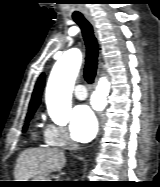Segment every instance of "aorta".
<instances>
[{
  "instance_id": "aorta-1",
  "label": "aorta",
  "mask_w": 160,
  "mask_h": 187,
  "mask_svg": "<svg viewBox=\"0 0 160 187\" xmlns=\"http://www.w3.org/2000/svg\"><path fill=\"white\" fill-rule=\"evenodd\" d=\"M82 56L79 50L65 52L55 63L46 88V104L53 120L61 121L71 109L72 92L81 67ZM110 82L101 77L92 95L91 104L102 111L107 104Z\"/></svg>"
}]
</instances>
